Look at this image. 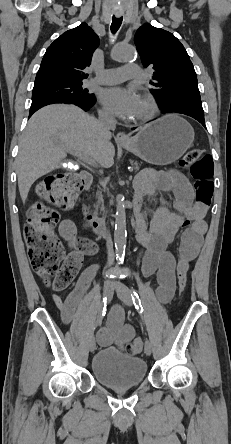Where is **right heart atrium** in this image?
I'll return each mask as SVG.
<instances>
[{
    "mask_svg": "<svg viewBox=\"0 0 231 444\" xmlns=\"http://www.w3.org/2000/svg\"><path fill=\"white\" fill-rule=\"evenodd\" d=\"M101 115L103 117H105V118H110L111 117L110 113L108 111H106V110H101Z\"/></svg>",
    "mask_w": 231,
    "mask_h": 444,
    "instance_id": "obj_1",
    "label": "right heart atrium"
}]
</instances>
